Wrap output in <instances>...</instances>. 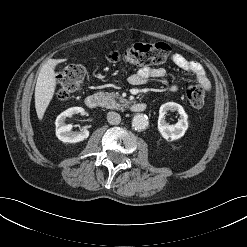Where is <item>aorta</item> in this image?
<instances>
[{
  "instance_id": "1",
  "label": "aorta",
  "mask_w": 247,
  "mask_h": 247,
  "mask_svg": "<svg viewBox=\"0 0 247 247\" xmlns=\"http://www.w3.org/2000/svg\"><path fill=\"white\" fill-rule=\"evenodd\" d=\"M148 123V117L144 114H137L132 119V127L138 131L146 129Z\"/></svg>"
}]
</instances>
